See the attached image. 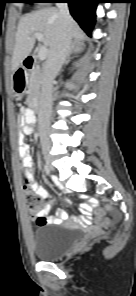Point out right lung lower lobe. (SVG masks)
Here are the masks:
<instances>
[{"label": "right lung lower lobe", "instance_id": "1", "mask_svg": "<svg viewBox=\"0 0 136 296\" xmlns=\"http://www.w3.org/2000/svg\"><path fill=\"white\" fill-rule=\"evenodd\" d=\"M52 3L64 1L69 4L70 13L81 28L91 36L95 22L96 5L99 0H49Z\"/></svg>", "mask_w": 136, "mask_h": 296}]
</instances>
